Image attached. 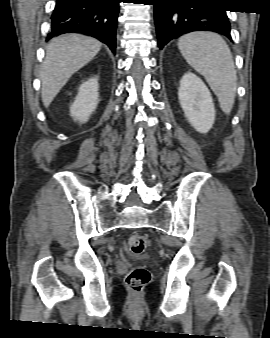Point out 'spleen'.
Here are the masks:
<instances>
[{"instance_id":"obj_1","label":"spleen","mask_w":270,"mask_h":338,"mask_svg":"<svg viewBox=\"0 0 270 338\" xmlns=\"http://www.w3.org/2000/svg\"><path fill=\"white\" fill-rule=\"evenodd\" d=\"M178 48L187 63L205 78L222 111L230 114L236 96L237 74L225 40L212 32H192L179 38Z\"/></svg>"}]
</instances>
